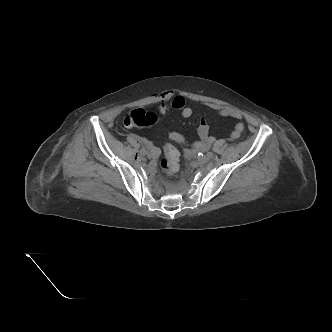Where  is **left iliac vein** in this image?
<instances>
[{
    "label": "left iliac vein",
    "instance_id": "1",
    "mask_svg": "<svg viewBox=\"0 0 332 332\" xmlns=\"http://www.w3.org/2000/svg\"><path fill=\"white\" fill-rule=\"evenodd\" d=\"M199 161H200V163L205 164V163H207V162L209 161V157L206 156V155H202V156L199 158Z\"/></svg>",
    "mask_w": 332,
    "mask_h": 332
}]
</instances>
